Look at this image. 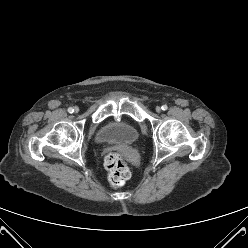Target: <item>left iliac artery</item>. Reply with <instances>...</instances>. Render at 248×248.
<instances>
[{
  "mask_svg": "<svg viewBox=\"0 0 248 248\" xmlns=\"http://www.w3.org/2000/svg\"><path fill=\"white\" fill-rule=\"evenodd\" d=\"M161 109H162L163 111H165V110L168 109V107H167V105H162Z\"/></svg>",
  "mask_w": 248,
  "mask_h": 248,
  "instance_id": "44dca946",
  "label": "left iliac artery"
}]
</instances>
